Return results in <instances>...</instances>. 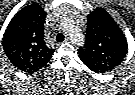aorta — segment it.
I'll use <instances>...</instances> for the list:
<instances>
[{
  "instance_id": "1",
  "label": "aorta",
  "mask_w": 135,
  "mask_h": 95,
  "mask_svg": "<svg viewBox=\"0 0 135 95\" xmlns=\"http://www.w3.org/2000/svg\"><path fill=\"white\" fill-rule=\"evenodd\" d=\"M72 35L74 36V37H73L74 39H77V40L80 41V42H81V41H82V42L84 41V37H83L79 32H78V33H75V34H72ZM82 42H81V43H82Z\"/></svg>"
}]
</instances>
